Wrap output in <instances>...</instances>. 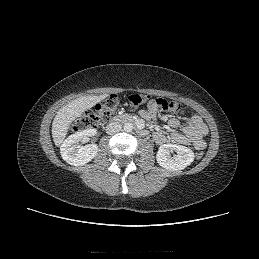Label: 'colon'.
<instances>
[{
	"label": "colon",
	"mask_w": 259,
	"mask_h": 259,
	"mask_svg": "<svg viewBox=\"0 0 259 259\" xmlns=\"http://www.w3.org/2000/svg\"><path fill=\"white\" fill-rule=\"evenodd\" d=\"M128 102L132 106H139L145 102L148 105L162 111L180 112L182 105L176 101L166 100L164 98H151L148 95L132 94L128 97ZM119 106V98L117 95H111L104 101L100 102L95 110L85 112L74 124L75 130H83L94 128L101 125L106 120L114 116ZM203 152L198 151L195 156L197 159L203 157Z\"/></svg>",
	"instance_id": "1"
}]
</instances>
